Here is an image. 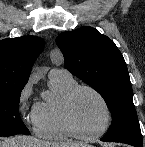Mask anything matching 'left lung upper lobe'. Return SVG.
<instances>
[{"label": "left lung upper lobe", "instance_id": "obj_1", "mask_svg": "<svg viewBox=\"0 0 145 147\" xmlns=\"http://www.w3.org/2000/svg\"><path fill=\"white\" fill-rule=\"evenodd\" d=\"M56 43L67 70L95 89L111 111L113 120L103 138L142 144L130 77L115 43L89 26L59 34Z\"/></svg>", "mask_w": 145, "mask_h": 147}]
</instances>
